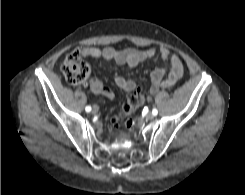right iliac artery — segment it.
<instances>
[{
  "label": "right iliac artery",
  "mask_w": 245,
  "mask_h": 195,
  "mask_svg": "<svg viewBox=\"0 0 245 195\" xmlns=\"http://www.w3.org/2000/svg\"><path fill=\"white\" fill-rule=\"evenodd\" d=\"M85 111L86 112H90L91 111V107L90 106H86Z\"/></svg>",
  "instance_id": "right-iliac-artery-1"
}]
</instances>
